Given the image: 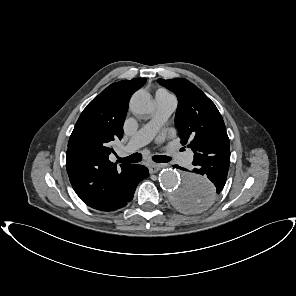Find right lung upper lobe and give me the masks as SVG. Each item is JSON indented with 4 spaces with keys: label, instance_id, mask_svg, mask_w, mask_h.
Listing matches in <instances>:
<instances>
[{
    "label": "right lung upper lobe",
    "instance_id": "cb5924a9",
    "mask_svg": "<svg viewBox=\"0 0 296 296\" xmlns=\"http://www.w3.org/2000/svg\"><path fill=\"white\" fill-rule=\"evenodd\" d=\"M146 82L135 78L113 83L81 113L68 142L66 168L73 189L88 206L112 211L122 199L132 164L117 168L109 160L114 140L122 139L132 94Z\"/></svg>",
    "mask_w": 296,
    "mask_h": 296
}]
</instances>
